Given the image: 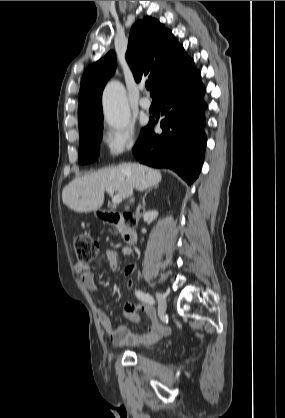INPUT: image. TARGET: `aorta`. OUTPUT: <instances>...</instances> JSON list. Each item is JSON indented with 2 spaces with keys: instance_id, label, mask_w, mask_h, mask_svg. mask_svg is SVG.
<instances>
[{
  "instance_id": "obj_1",
  "label": "aorta",
  "mask_w": 285,
  "mask_h": 418,
  "mask_svg": "<svg viewBox=\"0 0 285 418\" xmlns=\"http://www.w3.org/2000/svg\"><path fill=\"white\" fill-rule=\"evenodd\" d=\"M103 109L107 124L116 129H125L130 122V109L124 86L118 81H111L103 92Z\"/></svg>"
}]
</instances>
